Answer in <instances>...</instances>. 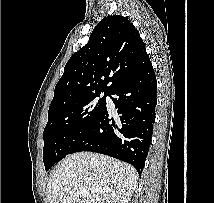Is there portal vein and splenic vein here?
Wrapping results in <instances>:
<instances>
[{"mask_svg":"<svg viewBox=\"0 0 214 203\" xmlns=\"http://www.w3.org/2000/svg\"><path fill=\"white\" fill-rule=\"evenodd\" d=\"M77 194H78L80 197H82V198H86V197H88L89 192H88L86 189H84V188H79V189L77 190Z\"/></svg>","mask_w":214,"mask_h":203,"instance_id":"portal-vein-and-splenic-vein-1","label":"portal vein and splenic vein"}]
</instances>
